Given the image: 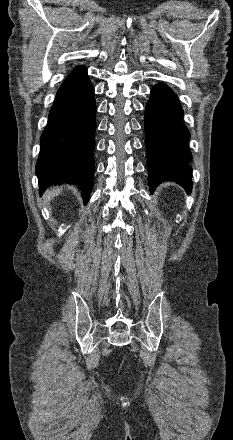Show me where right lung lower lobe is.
I'll return each instance as SVG.
<instances>
[{
    "instance_id": "right-lung-lower-lobe-1",
    "label": "right lung lower lobe",
    "mask_w": 233,
    "mask_h": 440,
    "mask_svg": "<svg viewBox=\"0 0 233 440\" xmlns=\"http://www.w3.org/2000/svg\"><path fill=\"white\" fill-rule=\"evenodd\" d=\"M96 109L86 68L72 71L56 94L41 136L36 164L41 192L64 182L79 184L87 203L94 175Z\"/></svg>"
}]
</instances>
